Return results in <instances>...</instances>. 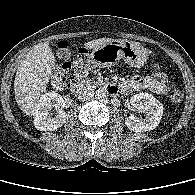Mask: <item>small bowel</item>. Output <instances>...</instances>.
Returning <instances> with one entry per match:
<instances>
[{
	"label": "small bowel",
	"instance_id": "obj_1",
	"mask_svg": "<svg viewBox=\"0 0 195 195\" xmlns=\"http://www.w3.org/2000/svg\"><path fill=\"white\" fill-rule=\"evenodd\" d=\"M120 89L123 93L128 94L134 90H150L155 94L164 96L168 93L166 81H160L153 76H136L130 80L124 81Z\"/></svg>",
	"mask_w": 195,
	"mask_h": 195
}]
</instances>
